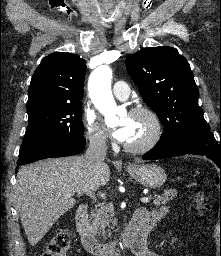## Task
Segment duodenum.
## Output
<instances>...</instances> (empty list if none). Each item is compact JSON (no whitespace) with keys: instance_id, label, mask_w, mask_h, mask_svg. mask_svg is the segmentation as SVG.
Returning <instances> with one entry per match:
<instances>
[{"instance_id":"obj_1","label":"duodenum","mask_w":221,"mask_h":256,"mask_svg":"<svg viewBox=\"0 0 221 256\" xmlns=\"http://www.w3.org/2000/svg\"><path fill=\"white\" fill-rule=\"evenodd\" d=\"M147 213L144 210H137L129 222L123 239L124 246H132L146 233L145 222ZM76 229L80 235L83 247L94 256H116L119 244L116 242L102 243L91 232L88 225V206L81 204L75 216Z\"/></svg>"}]
</instances>
